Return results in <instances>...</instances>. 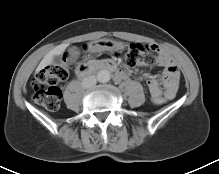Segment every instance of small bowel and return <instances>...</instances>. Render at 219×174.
I'll use <instances>...</instances> for the list:
<instances>
[{
	"instance_id": "obj_1",
	"label": "small bowel",
	"mask_w": 219,
	"mask_h": 174,
	"mask_svg": "<svg viewBox=\"0 0 219 174\" xmlns=\"http://www.w3.org/2000/svg\"><path fill=\"white\" fill-rule=\"evenodd\" d=\"M151 49L157 54V64L163 67L162 75L164 78V84H157L155 79L148 78L146 81V91L150 95L155 96H168L173 99L176 96L178 82H179V70L174 63L172 57L162 48L157 45H152ZM126 73L119 70L115 76L116 81H121L126 78Z\"/></svg>"
}]
</instances>
